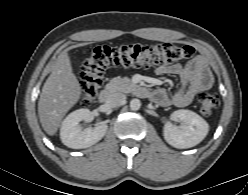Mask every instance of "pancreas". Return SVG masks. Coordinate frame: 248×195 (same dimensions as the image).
I'll return each mask as SVG.
<instances>
[{
    "instance_id": "obj_1",
    "label": "pancreas",
    "mask_w": 248,
    "mask_h": 195,
    "mask_svg": "<svg viewBox=\"0 0 248 195\" xmlns=\"http://www.w3.org/2000/svg\"><path fill=\"white\" fill-rule=\"evenodd\" d=\"M106 87L112 92L131 93L137 86L127 77H115L109 81Z\"/></svg>"
}]
</instances>
